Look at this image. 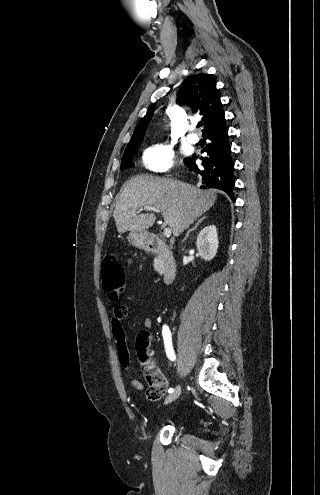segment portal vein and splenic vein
I'll use <instances>...</instances> for the list:
<instances>
[{
	"mask_svg": "<svg viewBox=\"0 0 320 495\" xmlns=\"http://www.w3.org/2000/svg\"><path fill=\"white\" fill-rule=\"evenodd\" d=\"M143 210H148V211H155V212H160L159 209L155 208V207H151V206H146V207H143V208H140L139 209V212L143 211ZM164 236L166 238H169L171 236V229L170 228H165L164 229Z\"/></svg>",
	"mask_w": 320,
	"mask_h": 495,
	"instance_id": "18ae733b",
	"label": "portal vein and splenic vein"
}]
</instances>
